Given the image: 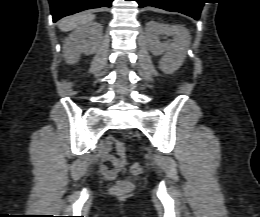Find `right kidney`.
Listing matches in <instances>:
<instances>
[{
	"mask_svg": "<svg viewBox=\"0 0 260 217\" xmlns=\"http://www.w3.org/2000/svg\"><path fill=\"white\" fill-rule=\"evenodd\" d=\"M102 39V26L89 22L75 29L65 40L63 52L68 64H74L82 53L91 55L96 52Z\"/></svg>",
	"mask_w": 260,
	"mask_h": 217,
	"instance_id": "right-kidney-1",
	"label": "right kidney"
}]
</instances>
